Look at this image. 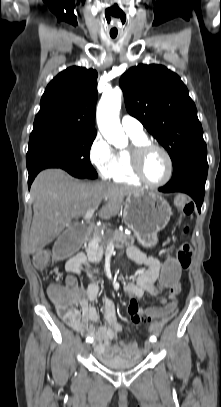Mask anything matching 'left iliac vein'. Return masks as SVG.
Listing matches in <instances>:
<instances>
[{"mask_svg": "<svg viewBox=\"0 0 221 407\" xmlns=\"http://www.w3.org/2000/svg\"><path fill=\"white\" fill-rule=\"evenodd\" d=\"M152 347H153V349H154L155 351H158V350H159L160 345H159V343H158V342H153V343H152Z\"/></svg>", "mask_w": 221, "mask_h": 407, "instance_id": "left-iliac-vein-1", "label": "left iliac vein"}]
</instances>
